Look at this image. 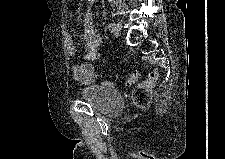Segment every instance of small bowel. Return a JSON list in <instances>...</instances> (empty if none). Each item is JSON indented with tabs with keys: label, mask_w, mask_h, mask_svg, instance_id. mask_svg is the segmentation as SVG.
<instances>
[{
	"label": "small bowel",
	"mask_w": 225,
	"mask_h": 159,
	"mask_svg": "<svg viewBox=\"0 0 225 159\" xmlns=\"http://www.w3.org/2000/svg\"><path fill=\"white\" fill-rule=\"evenodd\" d=\"M95 0H88L89 5H93ZM84 53L83 63H73L71 67L74 78L80 84H90L96 77V67L94 62L99 59L101 46V37L98 34L92 18V12L89 9L84 17ZM67 53L69 56H74L77 52V44L71 35L66 37Z\"/></svg>",
	"instance_id": "small-bowel-1"
}]
</instances>
